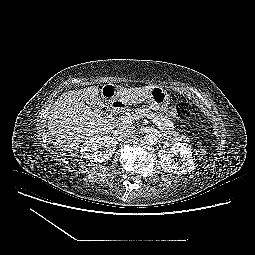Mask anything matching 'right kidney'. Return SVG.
<instances>
[{"label": "right kidney", "instance_id": "obj_1", "mask_svg": "<svg viewBox=\"0 0 255 255\" xmlns=\"http://www.w3.org/2000/svg\"><path fill=\"white\" fill-rule=\"evenodd\" d=\"M117 140L109 136H95L85 141L81 147V158L90 160L91 162H104L110 159L115 153ZM106 147L103 153H98V150Z\"/></svg>", "mask_w": 255, "mask_h": 255}]
</instances>
